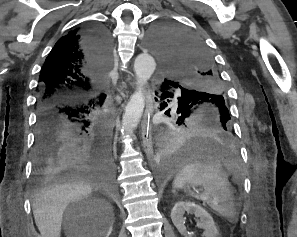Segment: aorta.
Wrapping results in <instances>:
<instances>
[{
	"label": "aorta",
	"instance_id": "aorta-1",
	"mask_svg": "<svg viewBox=\"0 0 297 237\" xmlns=\"http://www.w3.org/2000/svg\"><path fill=\"white\" fill-rule=\"evenodd\" d=\"M148 44L154 47L150 39ZM155 68V60L150 54L144 52L136 57L134 71L137 77L138 89L131 96L123 114L122 135L131 134L140 121L145 105L143 87L154 73Z\"/></svg>",
	"mask_w": 297,
	"mask_h": 237
}]
</instances>
